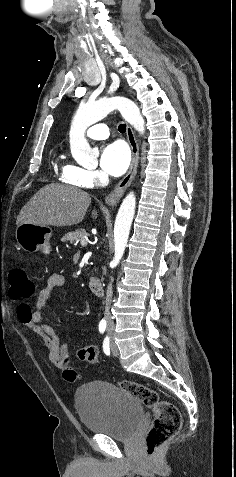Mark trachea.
Here are the masks:
<instances>
[{
  "mask_svg": "<svg viewBox=\"0 0 236 477\" xmlns=\"http://www.w3.org/2000/svg\"><path fill=\"white\" fill-rule=\"evenodd\" d=\"M118 129H119V131H120L121 133H124L125 130H126V124H120L119 127H118Z\"/></svg>",
  "mask_w": 236,
  "mask_h": 477,
  "instance_id": "trachea-1",
  "label": "trachea"
}]
</instances>
